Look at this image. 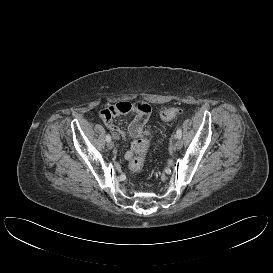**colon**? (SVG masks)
<instances>
[{"instance_id": "5ec220e1", "label": "colon", "mask_w": 273, "mask_h": 273, "mask_svg": "<svg viewBox=\"0 0 273 273\" xmlns=\"http://www.w3.org/2000/svg\"><path fill=\"white\" fill-rule=\"evenodd\" d=\"M181 113V109L178 107H166L161 111V119L163 121H171L175 119ZM147 137L142 138L136 143L134 153L129 162V169L134 172H140L144 166L145 155L148 150Z\"/></svg>"}]
</instances>
